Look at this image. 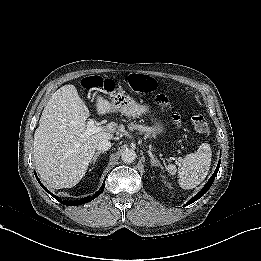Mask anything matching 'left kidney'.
<instances>
[{"instance_id": "5707ae66", "label": "left kidney", "mask_w": 261, "mask_h": 261, "mask_svg": "<svg viewBox=\"0 0 261 261\" xmlns=\"http://www.w3.org/2000/svg\"><path fill=\"white\" fill-rule=\"evenodd\" d=\"M161 177H163V178H164V176H161ZM165 183H166V182H165ZM167 186L171 187V186H170V184H169V185H167Z\"/></svg>"}]
</instances>
